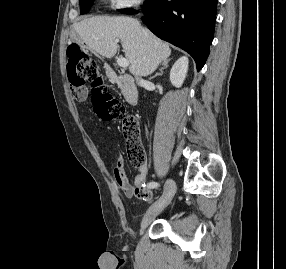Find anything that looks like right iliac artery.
Here are the masks:
<instances>
[{
    "label": "right iliac artery",
    "mask_w": 286,
    "mask_h": 269,
    "mask_svg": "<svg viewBox=\"0 0 286 269\" xmlns=\"http://www.w3.org/2000/svg\"><path fill=\"white\" fill-rule=\"evenodd\" d=\"M157 186H158V184L156 182H149L147 185L148 188H155Z\"/></svg>",
    "instance_id": "82829eb1"
}]
</instances>
